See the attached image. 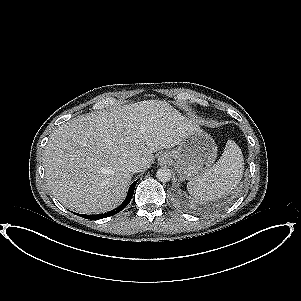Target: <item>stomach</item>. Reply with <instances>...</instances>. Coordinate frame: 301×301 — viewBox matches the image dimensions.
Wrapping results in <instances>:
<instances>
[{
	"instance_id": "0dacf381",
	"label": "stomach",
	"mask_w": 301,
	"mask_h": 301,
	"mask_svg": "<svg viewBox=\"0 0 301 301\" xmlns=\"http://www.w3.org/2000/svg\"><path fill=\"white\" fill-rule=\"evenodd\" d=\"M180 174L189 180L203 175L217 157L213 138L199 126L189 124L186 136L178 147L170 152Z\"/></svg>"
}]
</instances>
